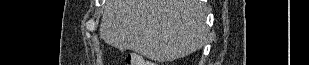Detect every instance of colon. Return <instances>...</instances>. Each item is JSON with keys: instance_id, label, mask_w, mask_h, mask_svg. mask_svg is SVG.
Returning a JSON list of instances; mask_svg holds the SVG:
<instances>
[{"instance_id": "colon-1", "label": "colon", "mask_w": 309, "mask_h": 65, "mask_svg": "<svg viewBox=\"0 0 309 65\" xmlns=\"http://www.w3.org/2000/svg\"><path fill=\"white\" fill-rule=\"evenodd\" d=\"M127 64L134 65V64H140V65H153L149 62H144L140 57H134L132 59H129L127 61Z\"/></svg>"}]
</instances>
